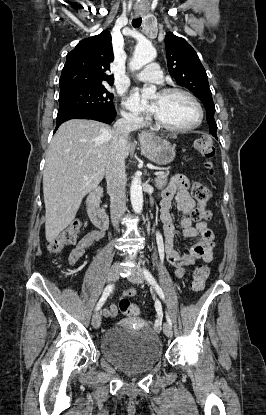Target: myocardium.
Listing matches in <instances>:
<instances>
[{
	"label": "myocardium",
	"mask_w": 266,
	"mask_h": 415,
	"mask_svg": "<svg viewBox=\"0 0 266 415\" xmlns=\"http://www.w3.org/2000/svg\"><path fill=\"white\" fill-rule=\"evenodd\" d=\"M163 95H172V94H181L184 95L185 97H187L196 107L197 112H198V118L196 120L195 123H193L192 125L186 126V127H174V126H170L168 124H165L164 122H162L156 115L154 117V121H155V125L156 127L168 131V132H172V133H184V132H189L191 130H194L196 128H198L204 119V111L203 108L200 104V102L198 101V99L189 91L182 89V88H177V87H168V88H164L161 90L160 92Z\"/></svg>",
	"instance_id": "myocardium-1"
}]
</instances>
